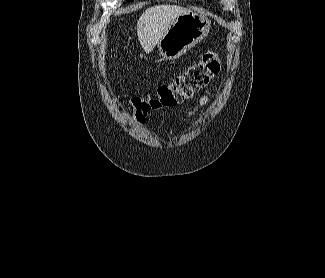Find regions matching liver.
Returning a JSON list of instances; mask_svg holds the SVG:
<instances>
[{"instance_id":"6515ba94","label":"liver","mask_w":325,"mask_h":278,"mask_svg":"<svg viewBox=\"0 0 325 278\" xmlns=\"http://www.w3.org/2000/svg\"><path fill=\"white\" fill-rule=\"evenodd\" d=\"M189 12L177 5H158L143 12L137 22V35L144 51L149 54L176 18Z\"/></svg>"}]
</instances>
